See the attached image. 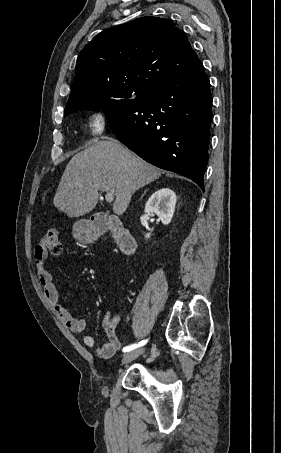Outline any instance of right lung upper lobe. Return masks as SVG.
<instances>
[{"label":"right lung upper lobe","instance_id":"1","mask_svg":"<svg viewBox=\"0 0 281 453\" xmlns=\"http://www.w3.org/2000/svg\"><path fill=\"white\" fill-rule=\"evenodd\" d=\"M196 60L185 33L171 20L145 16L109 28L79 54L64 114L128 101Z\"/></svg>","mask_w":281,"mask_h":453}]
</instances>
